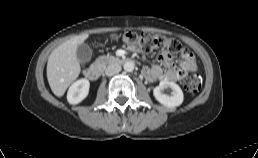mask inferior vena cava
<instances>
[{"mask_svg":"<svg viewBox=\"0 0 258 158\" xmlns=\"http://www.w3.org/2000/svg\"><path fill=\"white\" fill-rule=\"evenodd\" d=\"M121 71V66L117 63L111 64L109 65L106 70H105V74L107 76H113L117 73H119Z\"/></svg>","mask_w":258,"mask_h":158,"instance_id":"1","label":"inferior vena cava"}]
</instances>
